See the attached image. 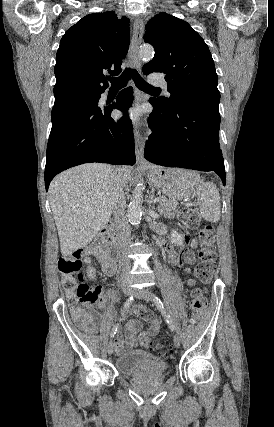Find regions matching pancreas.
Segmentation results:
<instances>
[{"label":"pancreas","mask_w":274,"mask_h":427,"mask_svg":"<svg viewBox=\"0 0 274 427\" xmlns=\"http://www.w3.org/2000/svg\"><path fill=\"white\" fill-rule=\"evenodd\" d=\"M178 202L176 200H167V198H162L159 202L158 212L164 215V217H175V214L178 212Z\"/></svg>","instance_id":"obj_1"}]
</instances>
